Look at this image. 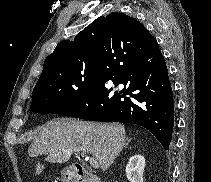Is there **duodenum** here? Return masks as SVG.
I'll use <instances>...</instances> for the list:
<instances>
[{"instance_id": "obj_1", "label": "duodenum", "mask_w": 211, "mask_h": 182, "mask_svg": "<svg viewBox=\"0 0 211 182\" xmlns=\"http://www.w3.org/2000/svg\"><path fill=\"white\" fill-rule=\"evenodd\" d=\"M72 175L74 182H102L96 174L80 166L73 167Z\"/></svg>"}]
</instances>
